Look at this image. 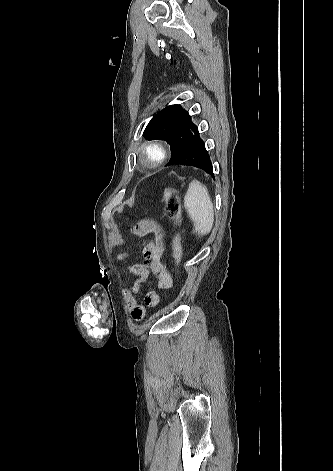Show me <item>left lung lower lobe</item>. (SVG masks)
Returning <instances> with one entry per match:
<instances>
[{
    "label": "left lung lower lobe",
    "instance_id": "obj_1",
    "mask_svg": "<svg viewBox=\"0 0 333 471\" xmlns=\"http://www.w3.org/2000/svg\"><path fill=\"white\" fill-rule=\"evenodd\" d=\"M172 164L192 165L203 169L214 178L212 163L205 148V144L199 136V132H197L195 137L186 146L170 159L167 165Z\"/></svg>",
    "mask_w": 333,
    "mask_h": 471
}]
</instances>
